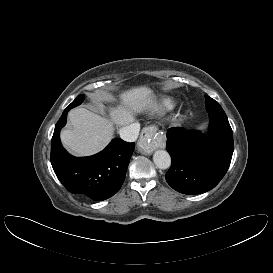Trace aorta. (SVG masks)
<instances>
[{
  "label": "aorta",
  "mask_w": 273,
  "mask_h": 273,
  "mask_svg": "<svg viewBox=\"0 0 273 273\" xmlns=\"http://www.w3.org/2000/svg\"><path fill=\"white\" fill-rule=\"evenodd\" d=\"M153 161L159 169H167L171 165V157L165 150H157L153 155Z\"/></svg>",
  "instance_id": "762f6f07"
}]
</instances>
